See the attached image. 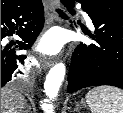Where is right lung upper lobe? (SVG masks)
I'll return each mask as SVG.
<instances>
[{"instance_id":"right-lung-upper-lobe-1","label":"right lung upper lobe","mask_w":123,"mask_h":113,"mask_svg":"<svg viewBox=\"0 0 123 113\" xmlns=\"http://www.w3.org/2000/svg\"><path fill=\"white\" fill-rule=\"evenodd\" d=\"M23 1L25 0H1V12L9 10L14 6H18Z\"/></svg>"}]
</instances>
